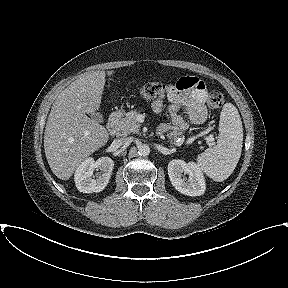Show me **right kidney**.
<instances>
[{"instance_id":"right-kidney-1","label":"right kidney","mask_w":288,"mask_h":288,"mask_svg":"<svg viewBox=\"0 0 288 288\" xmlns=\"http://www.w3.org/2000/svg\"><path fill=\"white\" fill-rule=\"evenodd\" d=\"M114 161L109 157H101L97 161L93 158H86L77 167L75 172V184L77 189L83 193L102 191L108 184ZM101 170L94 174L95 170Z\"/></svg>"}]
</instances>
